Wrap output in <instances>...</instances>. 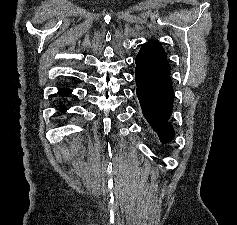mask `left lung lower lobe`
I'll return each mask as SVG.
<instances>
[{
	"label": "left lung lower lobe",
	"mask_w": 237,
	"mask_h": 225,
	"mask_svg": "<svg viewBox=\"0 0 237 225\" xmlns=\"http://www.w3.org/2000/svg\"><path fill=\"white\" fill-rule=\"evenodd\" d=\"M135 76L136 93L144 117L162 143L170 142L174 139V130L169 122L174 101L172 84L150 82Z\"/></svg>",
	"instance_id": "1"
}]
</instances>
